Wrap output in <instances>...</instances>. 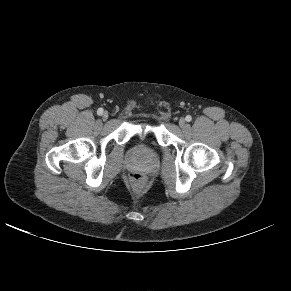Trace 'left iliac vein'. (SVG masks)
Instances as JSON below:
<instances>
[{"label":"left iliac vein","instance_id":"1","mask_svg":"<svg viewBox=\"0 0 291 291\" xmlns=\"http://www.w3.org/2000/svg\"><path fill=\"white\" fill-rule=\"evenodd\" d=\"M179 125H180L181 128H185V126H186V121H185L184 118H181V119L179 120Z\"/></svg>","mask_w":291,"mask_h":291}]
</instances>
